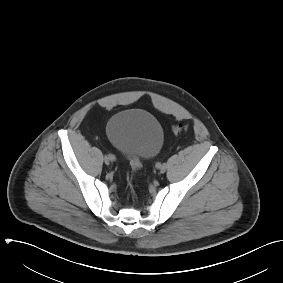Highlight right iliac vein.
<instances>
[{
    "label": "right iliac vein",
    "instance_id": "1",
    "mask_svg": "<svg viewBox=\"0 0 283 283\" xmlns=\"http://www.w3.org/2000/svg\"><path fill=\"white\" fill-rule=\"evenodd\" d=\"M112 160H111V157L109 156V155H106L105 157H104V162L108 165V164H110V162H111Z\"/></svg>",
    "mask_w": 283,
    "mask_h": 283
}]
</instances>
